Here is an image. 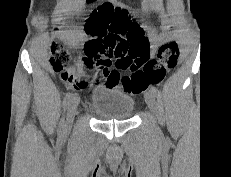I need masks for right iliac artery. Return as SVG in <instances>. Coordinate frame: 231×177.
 <instances>
[{"label":"right iliac artery","instance_id":"1","mask_svg":"<svg viewBox=\"0 0 231 177\" xmlns=\"http://www.w3.org/2000/svg\"><path fill=\"white\" fill-rule=\"evenodd\" d=\"M73 97V94L71 92H68L66 94V96L64 97L63 100V109L64 111L66 110L67 106L69 105L71 99ZM59 134H62L64 131V118L62 117L60 124H59V128H58Z\"/></svg>","mask_w":231,"mask_h":177}]
</instances>
